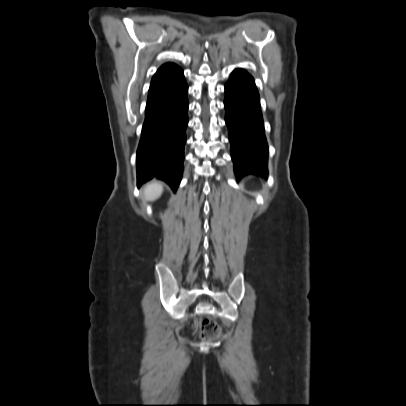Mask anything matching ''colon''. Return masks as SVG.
<instances>
[{
  "mask_svg": "<svg viewBox=\"0 0 406 406\" xmlns=\"http://www.w3.org/2000/svg\"><path fill=\"white\" fill-rule=\"evenodd\" d=\"M197 327L200 335L206 339H212L221 334L220 327L209 316H202L197 322Z\"/></svg>",
  "mask_w": 406,
  "mask_h": 406,
  "instance_id": "colon-1",
  "label": "colon"
}]
</instances>
